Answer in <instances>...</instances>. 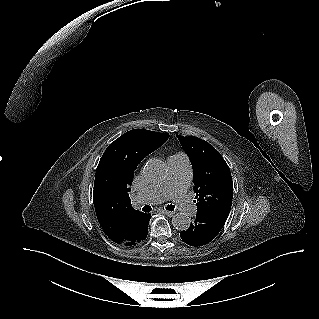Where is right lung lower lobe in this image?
<instances>
[{
    "instance_id": "right-lung-lower-lobe-1",
    "label": "right lung lower lobe",
    "mask_w": 319,
    "mask_h": 319,
    "mask_svg": "<svg viewBox=\"0 0 319 319\" xmlns=\"http://www.w3.org/2000/svg\"><path fill=\"white\" fill-rule=\"evenodd\" d=\"M150 218L151 215L145 213L136 216L125 230L122 238L116 243L125 246H132L143 241L148 234V223Z\"/></svg>"
}]
</instances>
